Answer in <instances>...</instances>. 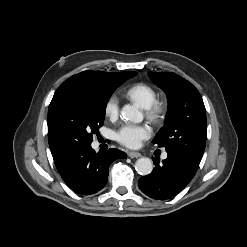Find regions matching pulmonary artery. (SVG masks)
Returning <instances> with one entry per match:
<instances>
[{
    "label": "pulmonary artery",
    "mask_w": 247,
    "mask_h": 247,
    "mask_svg": "<svg viewBox=\"0 0 247 247\" xmlns=\"http://www.w3.org/2000/svg\"><path fill=\"white\" fill-rule=\"evenodd\" d=\"M162 158L166 159L167 158V153H163Z\"/></svg>",
    "instance_id": "obj_1"
}]
</instances>
